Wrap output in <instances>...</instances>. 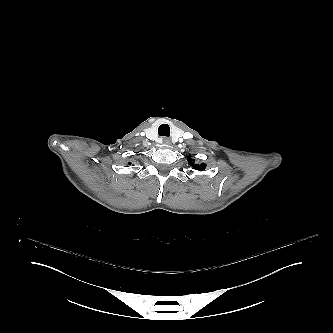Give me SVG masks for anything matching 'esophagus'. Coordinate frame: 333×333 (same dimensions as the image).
Segmentation results:
<instances>
[{
    "instance_id": "obj_1",
    "label": "esophagus",
    "mask_w": 333,
    "mask_h": 333,
    "mask_svg": "<svg viewBox=\"0 0 333 333\" xmlns=\"http://www.w3.org/2000/svg\"><path fill=\"white\" fill-rule=\"evenodd\" d=\"M163 143L170 145L171 144V140L169 138H163Z\"/></svg>"
}]
</instances>
